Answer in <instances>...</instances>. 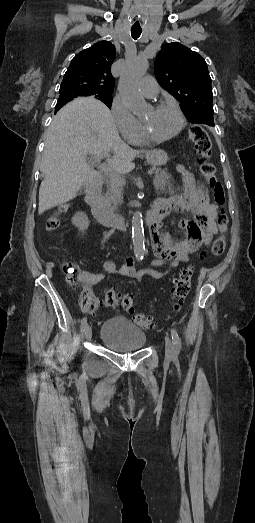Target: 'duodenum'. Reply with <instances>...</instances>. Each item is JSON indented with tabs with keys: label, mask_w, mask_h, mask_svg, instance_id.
<instances>
[{
	"label": "duodenum",
	"mask_w": 255,
	"mask_h": 523,
	"mask_svg": "<svg viewBox=\"0 0 255 523\" xmlns=\"http://www.w3.org/2000/svg\"><path fill=\"white\" fill-rule=\"evenodd\" d=\"M101 182V168L97 167L87 183L85 196V200L90 206L96 222L107 227L125 228V219L121 215L114 213L104 201L101 194ZM170 211L171 202L169 199H157L145 215L147 226L150 228L156 227Z\"/></svg>",
	"instance_id": "410a0bca"
}]
</instances>
